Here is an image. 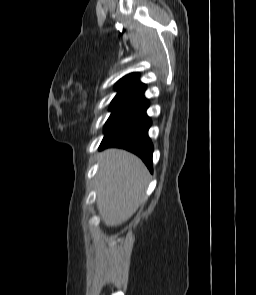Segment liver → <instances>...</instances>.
<instances>
[{
    "mask_svg": "<svg viewBox=\"0 0 256 295\" xmlns=\"http://www.w3.org/2000/svg\"><path fill=\"white\" fill-rule=\"evenodd\" d=\"M97 207L106 226L126 222L144 200L149 172L134 154L111 148L100 154Z\"/></svg>",
    "mask_w": 256,
    "mask_h": 295,
    "instance_id": "obj_1",
    "label": "liver"
}]
</instances>
